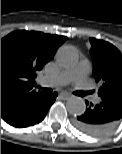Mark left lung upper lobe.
Returning <instances> with one entry per match:
<instances>
[{
	"instance_id": "left-lung-upper-lobe-1",
	"label": "left lung upper lobe",
	"mask_w": 122,
	"mask_h": 154,
	"mask_svg": "<svg viewBox=\"0 0 122 154\" xmlns=\"http://www.w3.org/2000/svg\"><path fill=\"white\" fill-rule=\"evenodd\" d=\"M93 74L99 83L98 96L122 93V54L112 44L90 38Z\"/></svg>"
}]
</instances>
